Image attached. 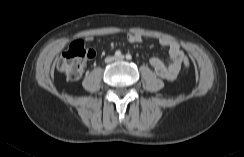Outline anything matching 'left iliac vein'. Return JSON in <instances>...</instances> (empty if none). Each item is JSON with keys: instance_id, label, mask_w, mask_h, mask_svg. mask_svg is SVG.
<instances>
[{"instance_id": "obj_1", "label": "left iliac vein", "mask_w": 244, "mask_h": 157, "mask_svg": "<svg viewBox=\"0 0 244 157\" xmlns=\"http://www.w3.org/2000/svg\"><path fill=\"white\" fill-rule=\"evenodd\" d=\"M124 58H125V57H124L123 55H121V56L117 57L116 59H117V60H124Z\"/></svg>"}]
</instances>
